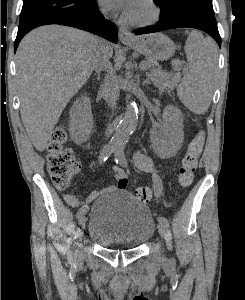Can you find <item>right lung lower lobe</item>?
<instances>
[{"mask_svg": "<svg viewBox=\"0 0 245 300\" xmlns=\"http://www.w3.org/2000/svg\"><path fill=\"white\" fill-rule=\"evenodd\" d=\"M48 24H60L75 27L82 29L96 35H99L109 41L114 43L117 42V27L114 23L109 20H106L101 12L99 11L98 6L93 10L89 11L83 15H63L51 18L49 20L33 24L27 27L19 28L17 37L14 43V51H16L19 42L21 39L32 29Z\"/></svg>", "mask_w": 245, "mask_h": 300, "instance_id": "obj_1", "label": "right lung lower lobe"}]
</instances>
